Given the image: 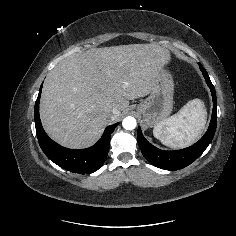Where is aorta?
<instances>
[{
	"label": "aorta",
	"mask_w": 236,
	"mask_h": 236,
	"mask_svg": "<svg viewBox=\"0 0 236 236\" xmlns=\"http://www.w3.org/2000/svg\"><path fill=\"white\" fill-rule=\"evenodd\" d=\"M137 123L134 117L128 116L123 119L122 126L126 130H133L135 129Z\"/></svg>",
	"instance_id": "1"
}]
</instances>
